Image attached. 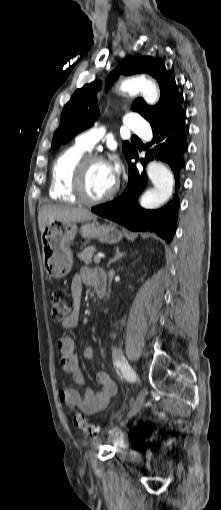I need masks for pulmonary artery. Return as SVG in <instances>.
<instances>
[{"label":"pulmonary artery","mask_w":221,"mask_h":510,"mask_svg":"<svg viewBox=\"0 0 221 510\" xmlns=\"http://www.w3.org/2000/svg\"><path fill=\"white\" fill-rule=\"evenodd\" d=\"M125 126L140 135L144 140H148L151 137L149 123L138 114H128L125 119ZM104 132L105 130L102 127L91 128L80 133L76 137V143L90 150L101 139Z\"/></svg>","instance_id":"pulmonary-artery-1"}]
</instances>
